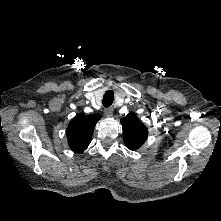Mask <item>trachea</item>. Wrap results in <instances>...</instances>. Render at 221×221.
I'll return each mask as SVG.
<instances>
[{
	"label": "trachea",
	"mask_w": 221,
	"mask_h": 221,
	"mask_svg": "<svg viewBox=\"0 0 221 221\" xmlns=\"http://www.w3.org/2000/svg\"><path fill=\"white\" fill-rule=\"evenodd\" d=\"M113 100H114V93L112 90H108L103 96L102 104L104 107H109L112 105Z\"/></svg>",
	"instance_id": "1"
}]
</instances>
